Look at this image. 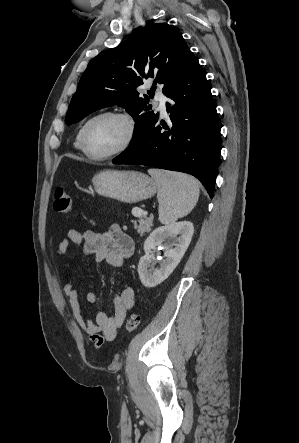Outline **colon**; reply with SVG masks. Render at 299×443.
<instances>
[{"mask_svg": "<svg viewBox=\"0 0 299 443\" xmlns=\"http://www.w3.org/2000/svg\"><path fill=\"white\" fill-rule=\"evenodd\" d=\"M54 210L63 215H69L72 210V201L68 191L59 186L54 193ZM140 323V316L136 313H131L126 321V329L128 332H133L137 329Z\"/></svg>", "mask_w": 299, "mask_h": 443, "instance_id": "5ec220e1", "label": "colon"}]
</instances>
